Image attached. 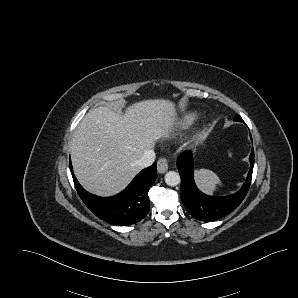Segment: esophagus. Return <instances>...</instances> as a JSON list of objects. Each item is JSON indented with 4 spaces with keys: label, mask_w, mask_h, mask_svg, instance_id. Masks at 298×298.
Here are the masks:
<instances>
[{
    "label": "esophagus",
    "mask_w": 298,
    "mask_h": 298,
    "mask_svg": "<svg viewBox=\"0 0 298 298\" xmlns=\"http://www.w3.org/2000/svg\"><path fill=\"white\" fill-rule=\"evenodd\" d=\"M169 168L168 160L165 157H161L157 162V170L160 174L165 173Z\"/></svg>",
    "instance_id": "34e87169"
}]
</instances>
